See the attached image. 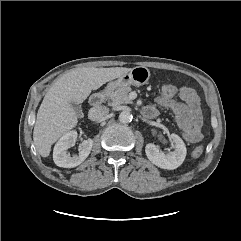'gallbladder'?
Masks as SVG:
<instances>
[{"label":"gallbladder","instance_id":"1","mask_svg":"<svg viewBox=\"0 0 241 241\" xmlns=\"http://www.w3.org/2000/svg\"><path fill=\"white\" fill-rule=\"evenodd\" d=\"M71 106L78 116H80L82 114V109H81V106L79 104H77L75 102H71Z\"/></svg>","mask_w":241,"mask_h":241}]
</instances>
